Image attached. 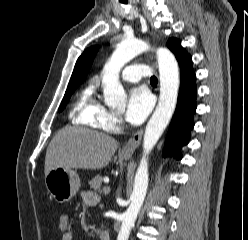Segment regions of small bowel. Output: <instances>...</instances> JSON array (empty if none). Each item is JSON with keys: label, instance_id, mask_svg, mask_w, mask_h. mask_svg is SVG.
<instances>
[{"label": "small bowel", "instance_id": "c3829d8e", "mask_svg": "<svg viewBox=\"0 0 248 240\" xmlns=\"http://www.w3.org/2000/svg\"><path fill=\"white\" fill-rule=\"evenodd\" d=\"M82 199L85 205L94 206L99 202V196L91 191L82 192ZM74 232L69 228L62 233L61 240H74Z\"/></svg>", "mask_w": 248, "mask_h": 240}]
</instances>
